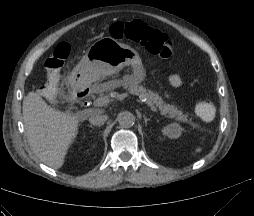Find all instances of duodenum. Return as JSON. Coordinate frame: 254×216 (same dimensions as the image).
Returning a JSON list of instances; mask_svg holds the SVG:
<instances>
[{
  "label": "duodenum",
  "mask_w": 254,
  "mask_h": 216,
  "mask_svg": "<svg viewBox=\"0 0 254 216\" xmlns=\"http://www.w3.org/2000/svg\"><path fill=\"white\" fill-rule=\"evenodd\" d=\"M89 89H82L76 93V98L80 101H84L88 97Z\"/></svg>",
  "instance_id": "410a0bca"
}]
</instances>
